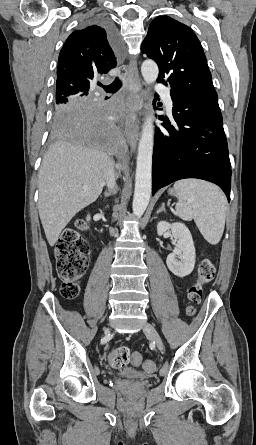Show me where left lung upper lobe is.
<instances>
[{"label": "left lung upper lobe", "instance_id": "5c2ea615", "mask_svg": "<svg viewBox=\"0 0 256 445\" xmlns=\"http://www.w3.org/2000/svg\"><path fill=\"white\" fill-rule=\"evenodd\" d=\"M141 51L158 64V82H168L183 95L218 101L202 46L185 24L168 16L155 18Z\"/></svg>", "mask_w": 256, "mask_h": 445}]
</instances>
